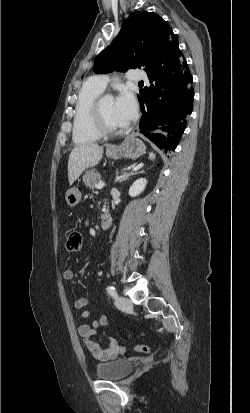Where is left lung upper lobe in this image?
<instances>
[{"mask_svg": "<svg viewBox=\"0 0 250 413\" xmlns=\"http://www.w3.org/2000/svg\"><path fill=\"white\" fill-rule=\"evenodd\" d=\"M177 40L170 26L160 16L147 11L134 12L123 23L115 40L94 61L96 73L125 72L153 67L156 48L162 41Z\"/></svg>", "mask_w": 250, "mask_h": 413, "instance_id": "obj_1", "label": "left lung upper lobe"}]
</instances>
